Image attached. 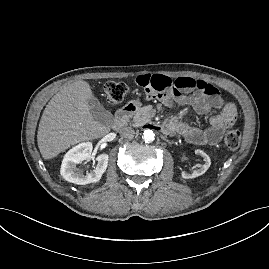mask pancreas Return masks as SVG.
Returning <instances> with one entry per match:
<instances>
[{
  "instance_id": "1",
  "label": "pancreas",
  "mask_w": 269,
  "mask_h": 269,
  "mask_svg": "<svg viewBox=\"0 0 269 269\" xmlns=\"http://www.w3.org/2000/svg\"><path fill=\"white\" fill-rule=\"evenodd\" d=\"M153 110L147 106L140 108L130 120V125L140 127L150 121L153 117Z\"/></svg>"
}]
</instances>
